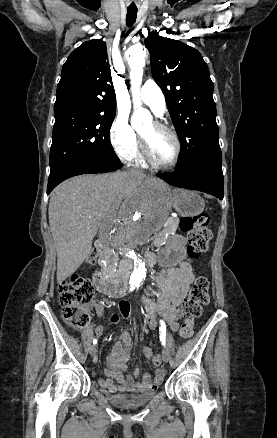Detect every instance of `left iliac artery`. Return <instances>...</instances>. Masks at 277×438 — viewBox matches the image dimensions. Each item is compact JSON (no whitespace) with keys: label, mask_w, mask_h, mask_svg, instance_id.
Listing matches in <instances>:
<instances>
[{"label":"left iliac artery","mask_w":277,"mask_h":438,"mask_svg":"<svg viewBox=\"0 0 277 438\" xmlns=\"http://www.w3.org/2000/svg\"><path fill=\"white\" fill-rule=\"evenodd\" d=\"M161 326H160V341L162 345L165 347L166 344V325L163 320H161Z\"/></svg>","instance_id":"left-iliac-artery-1"}]
</instances>
